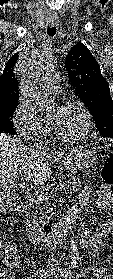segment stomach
<instances>
[{
	"label": "stomach",
	"instance_id": "0dacf381",
	"mask_svg": "<svg viewBox=\"0 0 113 279\" xmlns=\"http://www.w3.org/2000/svg\"><path fill=\"white\" fill-rule=\"evenodd\" d=\"M98 153L87 145L75 147L65 156V168L71 172L84 170L98 164Z\"/></svg>",
	"mask_w": 113,
	"mask_h": 279
}]
</instances>
